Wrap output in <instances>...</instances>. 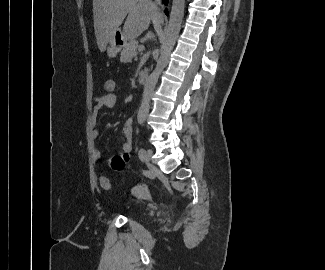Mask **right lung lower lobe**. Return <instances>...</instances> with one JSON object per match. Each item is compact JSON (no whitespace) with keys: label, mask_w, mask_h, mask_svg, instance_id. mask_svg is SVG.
Wrapping results in <instances>:
<instances>
[{"label":"right lung lower lobe","mask_w":325,"mask_h":270,"mask_svg":"<svg viewBox=\"0 0 325 270\" xmlns=\"http://www.w3.org/2000/svg\"><path fill=\"white\" fill-rule=\"evenodd\" d=\"M163 3L164 4H167L168 3V0H163ZM165 13H166V15H168V11L167 10L165 11Z\"/></svg>","instance_id":"right-lung-lower-lobe-1"}]
</instances>
